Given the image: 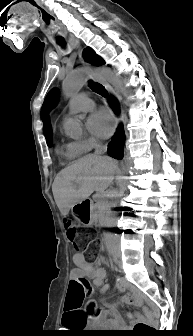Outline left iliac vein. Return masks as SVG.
Masks as SVG:
<instances>
[{
  "label": "left iliac vein",
  "mask_w": 193,
  "mask_h": 336,
  "mask_svg": "<svg viewBox=\"0 0 193 336\" xmlns=\"http://www.w3.org/2000/svg\"><path fill=\"white\" fill-rule=\"evenodd\" d=\"M119 267H121V263H119Z\"/></svg>",
  "instance_id": "left-iliac-vein-1"
}]
</instances>
